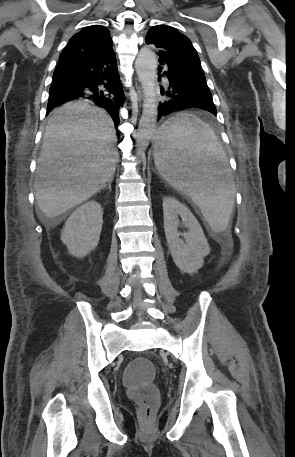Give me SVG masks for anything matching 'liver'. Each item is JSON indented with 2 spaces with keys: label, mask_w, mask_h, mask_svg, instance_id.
Returning <instances> with one entry per match:
<instances>
[{
  "label": "liver",
  "mask_w": 295,
  "mask_h": 457,
  "mask_svg": "<svg viewBox=\"0 0 295 457\" xmlns=\"http://www.w3.org/2000/svg\"><path fill=\"white\" fill-rule=\"evenodd\" d=\"M113 121L88 101L55 109L45 129L35 172V198L54 219L85 202L113 179L117 150Z\"/></svg>",
  "instance_id": "liver-1"
}]
</instances>
